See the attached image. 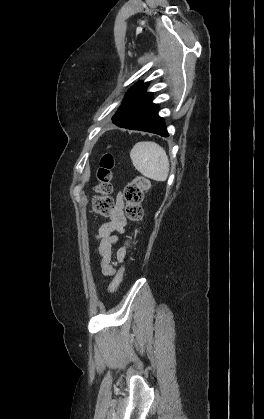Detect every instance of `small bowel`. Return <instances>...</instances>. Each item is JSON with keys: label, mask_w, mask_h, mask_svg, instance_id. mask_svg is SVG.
Returning <instances> with one entry per match:
<instances>
[{"label": "small bowel", "mask_w": 264, "mask_h": 419, "mask_svg": "<svg viewBox=\"0 0 264 419\" xmlns=\"http://www.w3.org/2000/svg\"><path fill=\"white\" fill-rule=\"evenodd\" d=\"M123 209L124 200L122 194L119 193L116 197L114 208L110 213V220L99 228L96 235L100 271L107 278L116 274L117 266L123 263L126 257V249L124 247L119 248L115 254L113 252L114 245L119 240L116 233H123L128 224Z\"/></svg>", "instance_id": "c3829d8e"}]
</instances>
